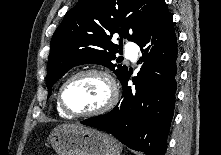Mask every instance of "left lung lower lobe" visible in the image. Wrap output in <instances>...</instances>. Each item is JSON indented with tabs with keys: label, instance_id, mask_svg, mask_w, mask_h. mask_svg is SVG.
Wrapping results in <instances>:
<instances>
[{
	"label": "left lung lower lobe",
	"instance_id": "obj_1",
	"mask_svg": "<svg viewBox=\"0 0 221 155\" xmlns=\"http://www.w3.org/2000/svg\"><path fill=\"white\" fill-rule=\"evenodd\" d=\"M142 52L135 90L122 79L123 101L105 115L81 124L105 130L133 150L164 155L174 113L177 78V39L172 15L163 3L136 41Z\"/></svg>",
	"mask_w": 221,
	"mask_h": 155
}]
</instances>
